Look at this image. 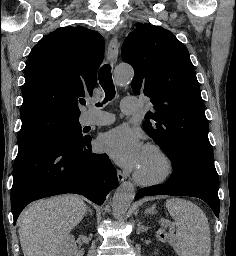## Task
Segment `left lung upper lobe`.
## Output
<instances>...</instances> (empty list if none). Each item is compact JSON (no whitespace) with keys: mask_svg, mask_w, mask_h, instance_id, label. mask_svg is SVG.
<instances>
[{"mask_svg":"<svg viewBox=\"0 0 236 256\" xmlns=\"http://www.w3.org/2000/svg\"><path fill=\"white\" fill-rule=\"evenodd\" d=\"M122 59L134 69L132 92L149 97L153 105L143 128L167 156L173 159L186 150L213 154L186 46L162 27L138 23L124 40Z\"/></svg>","mask_w":236,"mask_h":256,"instance_id":"5c2ea615","label":"left lung upper lobe"}]
</instances>
